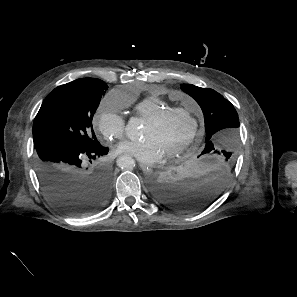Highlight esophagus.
<instances>
[{"instance_id":"1","label":"esophagus","mask_w":297,"mask_h":297,"mask_svg":"<svg viewBox=\"0 0 297 297\" xmlns=\"http://www.w3.org/2000/svg\"><path fill=\"white\" fill-rule=\"evenodd\" d=\"M139 166H140V168L142 169V171L144 173H147L148 174V173H151L152 172V168L149 165H147V164L140 163Z\"/></svg>"}]
</instances>
